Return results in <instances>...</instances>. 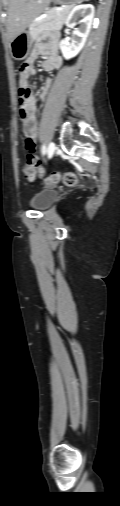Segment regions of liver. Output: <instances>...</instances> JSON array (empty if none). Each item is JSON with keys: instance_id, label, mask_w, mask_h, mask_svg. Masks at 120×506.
<instances>
[{"instance_id": "obj_1", "label": "liver", "mask_w": 120, "mask_h": 506, "mask_svg": "<svg viewBox=\"0 0 120 506\" xmlns=\"http://www.w3.org/2000/svg\"><path fill=\"white\" fill-rule=\"evenodd\" d=\"M52 0H9L7 31L12 41L48 7Z\"/></svg>"}]
</instances>
